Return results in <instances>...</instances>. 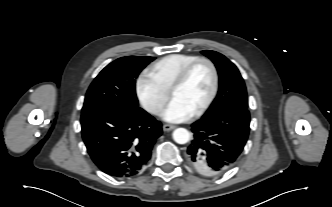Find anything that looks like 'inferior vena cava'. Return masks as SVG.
Returning <instances> with one entry per match:
<instances>
[{
  "label": "inferior vena cava",
  "instance_id": "inferior-vena-cava-1",
  "mask_svg": "<svg viewBox=\"0 0 332 207\" xmlns=\"http://www.w3.org/2000/svg\"><path fill=\"white\" fill-rule=\"evenodd\" d=\"M161 109L160 108H153L152 112L158 113Z\"/></svg>",
  "mask_w": 332,
  "mask_h": 207
}]
</instances>
